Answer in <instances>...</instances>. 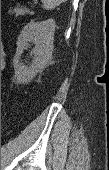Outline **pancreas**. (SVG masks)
I'll use <instances>...</instances> for the list:
<instances>
[{"label":"pancreas","instance_id":"cf45deb5","mask_svg":"<svg viewBox=\"0 0 109 170\" xmlns=\"http://www.w3.org/2000/svg\"><path fill=\"white\" fill-rule=\"evenodd\" d=\"M15 11H16V16L26 15V14H31L32 13L31 9H29L27 7H24V6H21V7L17 8Z\"/></svg>","mask_w":109,"mask_h":170}]
</instances>
